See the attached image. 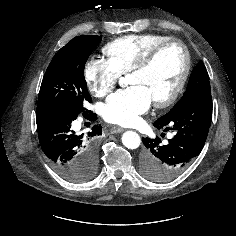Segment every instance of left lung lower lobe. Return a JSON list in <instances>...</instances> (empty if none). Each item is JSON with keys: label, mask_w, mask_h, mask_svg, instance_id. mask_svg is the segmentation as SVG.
Instances as JSON below:
<instances>
[{"label": "left lung lower lobe", "mask_w": 236, "mask_h": 236, "mask_svg": "<svg viewBox=\"0 0 236 236\" xmlns=\"http://www.w3.org/2000/svg\"><path fill=\"white\" fill-rule=\"evenodd\" d=\"M212 120L211 93L202 95L161 123L158 129L175 135L167 144L161 139L142 138L146 149L141 156L142 174L155 182H167L180 175L200 154Z\"/></svg>", "instance_id": "1"}]
</instances>
